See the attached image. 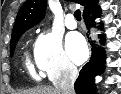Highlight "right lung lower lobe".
I'll return each mask as SVG.
<instances>
[{
    "mask_svg": "<svg viewBox=\"0 0 121 94\" xmlns=\"http://www.w3.org/2000/svg\"><path fill=\"white\" fill-rule=\"evenodd\" d=\"M100 9L97 7L93 8L89 12L83 14V18L87 29L95 26V18L99 17ZM102 23H100V28H102ZM88 36V34H87ZM101 44L105 42L104 35H100ZM92 45V55L88 63H86L82 70L80 71L79 77L75 82V90L77 94H95L94 91V78L96 75L100 74L105 66V55L102 48L97 49L93 42H90Z\"/></svg>",
    "mask_w": 121,
    "mask_h": 94,
    "instance_id": "98d812e1",
    "label": "right lung lower lobe"
}]
</instances>
